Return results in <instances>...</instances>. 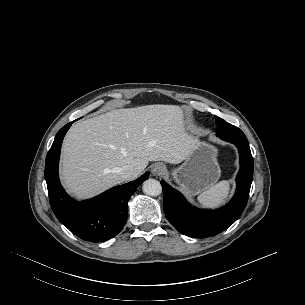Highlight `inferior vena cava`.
<instances>
[{
  "mask_svg": "<svg viewBox=\"0 0 305 305\" xmlns=\"http://www.w3.org/2000/svg\"><path fill=\"white\" fill-rule=\"evenodd\" d=\"M117 173L119 174V176L123 181L129 180L134 174V168L131 165H126L120 168Z\"/></svg>",
  "mask_w": 305,
  "mask_h": 305,
  "instance_id": "inferior-vena-cava-1",
  "label": "inferior vena cava"
}]
</instances>
